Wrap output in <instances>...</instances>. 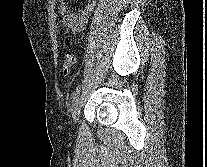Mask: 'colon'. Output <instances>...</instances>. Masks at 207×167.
<instances>
[{"mask_svg":"<svg viewBox=\"0 0 207 167\" xmlns=\"http://www.w3.org/2000/svg\"><path fill=\"white\" fill-rule=\"evenodd\" d=\"M76 64V56L72 52H68L63 61V73L64 75H68L71 73L72 69Z\"/></svg>","mask_w":207,"mask_h":167,"instance_id":"1","label":"colon"}]
</instances>
